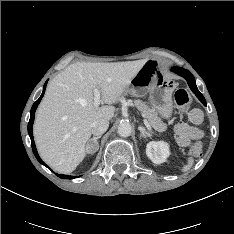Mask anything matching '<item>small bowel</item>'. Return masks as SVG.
Wrapping results in <instances>:
<instances>
[{
    "label": "small bowel",
    "instance_id": "c3829d8e",
    "mask_svg": "<svg viewBox=\"0 0 234 234\" xmlns=\"http://www.w3.org/2000/svg\"><path fill=\"white\" fill-rule=\"evenodd\" d=\"M203 121V114L199 109L190 112L188 121H181L175 126L177 143L181 147H187L191 141L203 137V131L198 127Z\"/></svg>",
    "mask_w": 234,
    "mask_h": 234
}]
</instances>
